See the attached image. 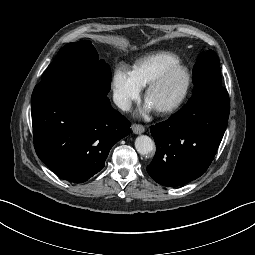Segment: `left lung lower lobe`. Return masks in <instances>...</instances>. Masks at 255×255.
Here are the masks:
<instances>
[{
  "label": "left lung lower lobe",
  "mask_w": 255,
  "mask_h": 255,
  "mask_svg": "<svg viewBox=\"0 0 255 255\" xmlns=\"http://www.w3.org/2000/svg\"><path fill=\"white\" fill-rule=\"evenodd\" d=\"M229 111V95L222 84H202L181 111L150 127L156 154L147 166L149 175L170 187L183 186L200 177L220 145Z\"/></svg>",
  "instance_id": "1"
}]
</instances>
